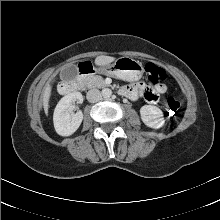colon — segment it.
<instances>
[{
  "label": "colon",
  "instance_id": "1",
  "mask_svg": "<svg viewBox=\"0 0 220 220\" xmlns=\"http://www.w3.org/2000/svg\"><path fill=\"white\" fill-rule=\"evenodd\" d=\"M146 74L150 82L154 84H161L166 78L165 71L153 63H147L145 66ZM180 112V103L173 97L166 101V115L172 122L178 117Z\"/></svg>",
  "mask_w": 220,
  "mask_h": 220
}]
</instances>
